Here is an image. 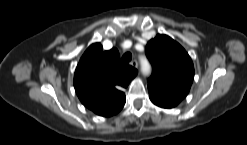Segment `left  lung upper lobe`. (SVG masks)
<instances>
[{"mask_svg": "<svg viewBox=\"0 0 247 145\" xmlns=\"http://www.w3.org/2000/svg\"><path fill=\"white\" fill-rule=\"evenodd\" d=\"M145 53L153 66L148 88L185 98L194 78V66L184 48L159 34L147 43Z\"/></svg>", "mask_w": 247, "mask_h": 145, "instance_id": "left-lung-upper-lobe-1", "label": "left lung upper lobe"}]
</instances>
